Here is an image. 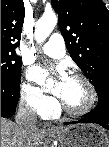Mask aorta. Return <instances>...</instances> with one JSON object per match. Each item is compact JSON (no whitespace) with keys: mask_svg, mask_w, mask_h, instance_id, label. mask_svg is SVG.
<instances>
[{"mask_svg":"<svg viewBox=\"0 0 109 147\" xmlns=\"http://www.w3.org/2000/svg\"><path fill=\"white\" fill-rule=\"evenodd\" d=\"M57 24V16L54 12L44 13L35 26V39L42 43L50 35Z\"/></svg>","mask_w":109,"mask_h":147,"instance_id":"762f6f07","label":"aorta"}]
</instances>
